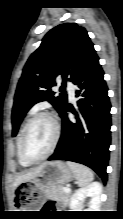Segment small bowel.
<instances>
[{"label": "small bowel", "instance_id": "small-bowel-1", "mask_svg": "<svg viewBox=\"0 0 123 219\" xmlns=\"http://www.w3.org/2000/svg\"><path fill=\"white\" fill-rule=\"evenodd\" d=\"M50 207H51V208H54V207H55V205H54V204H51V205H50Z\"/></svg>", "mask_w": 123, "mask_h": 219}]
</instances>
